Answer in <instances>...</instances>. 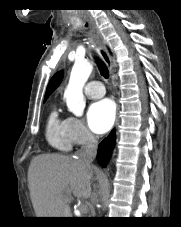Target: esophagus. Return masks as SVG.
I'll list each match as a JSON object with an SVG mask.
<instances>
[{
    "label": "esophagus",
    "mask_w": 181,
    "mask_h": 227,
    "mask_svg": "<svg viewBox=\"0 0 181 227\" xmlns=\"http://www.w3.org/2000/svg\"><path fill=\"white\" fill-rule=\"evenodd\" d=\"M90 28H91V32H92V37L95 41L96 47H97L101 57L103 58V60L105 61V63L107 65L111 66L112 65L111 56H110L104 42L102 41L98 30L94 26H90Z\"/></svg>",
    "instance_id": "esophagus-1"
}]
</instances>
